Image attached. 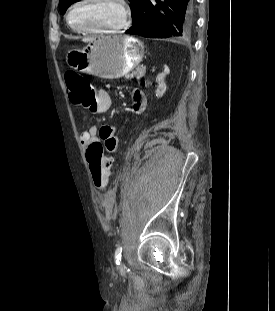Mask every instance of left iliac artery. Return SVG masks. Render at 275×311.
Listing matches in <instances>:
<instances>
[{
  "label": "left iliac artery",
  "instance_id": "obj_1",
  "mask_svg": "<svg viewBox=\"0 0 275 311\" xmlns=\"http://www.w3.org/2000/svg\"><path fill=\"white\" fill-rule=\"evenodd\" d=\"M122 247L118 246L115 251L116 263L119 264V260H121Z\"/></svg>",
  "mask_w": 275,
  "mask_h": 311
}]
</instances>
